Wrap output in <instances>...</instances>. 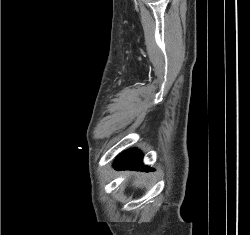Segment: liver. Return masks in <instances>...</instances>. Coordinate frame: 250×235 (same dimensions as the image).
<instances>
[{"label":"liver","instance_id":"6515ba94","mask_svg":"<svg viewBox=\"0 0 250 235\" xmlns=\"http://www.w3.org/2000/svg\"><path fill=\"white\" fill-rule=\"evenodd\" d=\"M143 184H144V181H143V182H141V181H136V182L134 183V185H135V186H138V187H143Z\"/></svg>","mask_w":250,"mask_h":235}]
</instances>
